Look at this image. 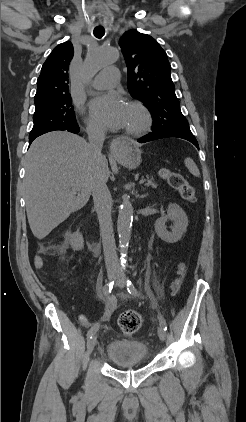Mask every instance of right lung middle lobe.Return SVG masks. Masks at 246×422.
<instances>
[{
	"mask_svg": "<svg viewBox=\"0 0 246 422\" xmlns=\"http://www.w3.org/2000/svg\"><path fill=\"white\" fill-rule=\"evenodd\" d=\"M33 122L34 126L29 139L56 129H70L78 125L69 96L58 98L48 105L36 108Z\"/></svg>",
	"mask_w": 246,
	"mask_h": 422,
	"instance_id": "obj_1",
	"label": "right lung middle lobe"
}]
</instances>
